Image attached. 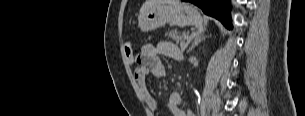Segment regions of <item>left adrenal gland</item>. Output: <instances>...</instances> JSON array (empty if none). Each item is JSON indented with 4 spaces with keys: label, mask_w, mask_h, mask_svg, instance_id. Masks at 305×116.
Wrapping results in <instances>:
<instances>
[{
    "label": "left adrenal gland",
    "mask_w": 305,
    "mask_h": 116,
    "mask_svg": "<svg viewBox=\"0 0 305 116\" xmlns=\"http://www.w3.org/2000/svg\"><path fill=\"white\" fill-rule=\"evenodd\" d=\"M203 40H205V37L204 36L201 37V33L200 34L198 33V35L194 38V41H193L192 45L188 49V52H191ZM189 43H190V41L187 42V45Z\"/></svg>",
    "instance_id": "obj_1"
}]
</instances>
